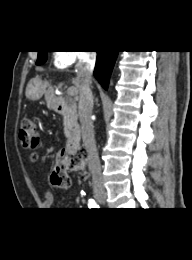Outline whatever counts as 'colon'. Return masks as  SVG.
Segmentation results:
<instances>
[{
  "mask_svg": "<svg viewBox=\"0 0 192 260\" xmlns=\"http://www.w3.org/2000/svg\"><path fill=\"white\" fill-rule=\"evenodd\" d=\"M40 137L35 122L30 118L22 119L19 129V140L22 146L28 150H36L40 143ZM86 159L87 152L85 150H80L77 153H59L55 158L50 177L52 185L58 189H68L71 186V173L84 174Z\"/></svg>",
  "mask_w": 192,
  "mask_h": 260,
  "instance_id": "obj_1",
  "label": "colon"
}]
</instances>
